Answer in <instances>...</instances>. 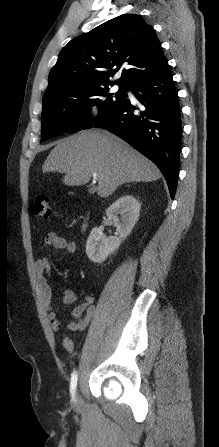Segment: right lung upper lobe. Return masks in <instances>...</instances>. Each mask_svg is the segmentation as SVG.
Segmentation results:
<instances>
[{"mask_svg": "<svg viewBox=\"0 0 219 447\" xmlns=\"http://www.w3.org/2000/svg\"><path fill=\"white\" fill-rule=\"evenodd\" d=\"M123 64L130 68L112 82ZM166 68L154 29L139 15L123 14L72 39L61 50L43 97L85 94L108 84L132 89Z\"/></svg>", "mask_w": 219, "mask_h": 447, "instance_id": "right-lung-upper-lobe-1", "label": "right lung upper lobe"}]
</instances>
